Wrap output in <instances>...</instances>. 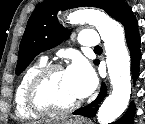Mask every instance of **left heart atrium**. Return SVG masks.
Segmentation results:
<instances>
[{"instance_id":"39dd6f15","label":"left heart atrium","mask_w":145,"mask_h":124,"mask_svg":"<svg viewBox=\"0 0 145 124\" xmlns=\"http://www.w3.org/2000/svg\"><path fill=\"white\" fill-rule=\"evenodd\" d=\"M66 73L79 99L87 97L95 89L96 76L85 60L75 58Z\"/></svg>"}]
</instances>
